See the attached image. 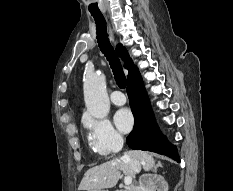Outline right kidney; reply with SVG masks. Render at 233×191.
Wrapping results in <instances>:
<instances>
[{"instance_id": "right-kidney-1", "label": "right kidney", "mask_w": 233, "mask_h": 191, "mask_svg": "<svg viewBox=\"0 0 233 191\" xmlns=\"http://www.w3.org/2000/svg\"><path fill=\"white\" fill-rule=\"evenodd\" d=\"M145 191H168V184L163 176L155 175Z\"/></svg>"}]
</instances>
